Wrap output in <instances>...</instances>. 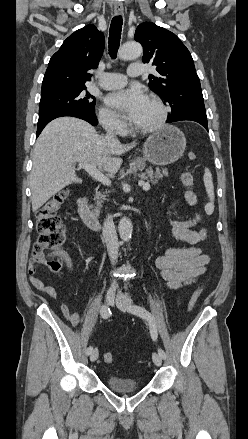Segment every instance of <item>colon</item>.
<instances>
[{
  "label": "colon",
  "mask_w": 248,
  "mask_h": 439,
  "mask_svg": "<svg viewBox=\"0 0 248 439\" xmlns=\"http://www.w3.org/2000/svg\"><path fill=\"white\" fill-rule=\"evenodd\" d=\"M183 186L191 191L195 184L194 176L191 172H184L181 176ZM68 196L67 190H62L46 201L37 211V231L38 240L33 248V258L40 264L48 268L51 272H59L62 267V257L59 252L60 247L66 240V228L58 215ZM202 291V286H198L192 293L188 309L191 310ZM106 363L113 362V355L109 352L103 354Z\"/></svg>",
  "instance_id": "1"
}]
</instances>
